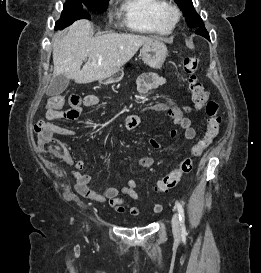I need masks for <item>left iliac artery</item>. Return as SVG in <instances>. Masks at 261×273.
<instances>
[{"instance_id": "44dca946", "label": "left iliac artery", "mask_w": 261, "mask_h": 273, "mask_svg": "<svg viewBox=\"0 0 261 273\" xmlns=\"http://www.w3.org/2000/svg\"><path fill=\"white\" fill-rule=\"evenodd\" d=\"M176 207L179 213V221L181 223V230L183 234H186V228H185V215H184V209L180 202L176 203Z\"/></svg>"}]
</instances>
